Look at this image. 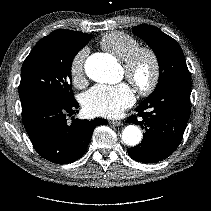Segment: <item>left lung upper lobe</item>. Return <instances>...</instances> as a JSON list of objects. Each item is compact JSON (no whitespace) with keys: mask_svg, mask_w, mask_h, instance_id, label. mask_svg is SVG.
Wrapping results in <instances>:
<instances>
[{"mask_svg":"<svg viewBox=\"0 0 211 211\" xmlns=\"http://www.w3.org/2000/svg\"><path fill=\"white\" fill-rule=\"evenodd\" d=\"M132 30L152 48L158 60L159 81L150 96L162 90L169 83L191 79L183 51L176 40L160 29L147 24L135 26Z\"/></svg>","mask_w":211,"mask_h":211,"instance_id":"obj_1","label":"left lung upper lobe"}]
</instances>
